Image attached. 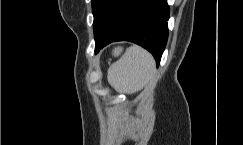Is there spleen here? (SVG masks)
<instances>
[{
  "label": "spleen",
  "instance_id": "3e777b00",
  "mask_svg": "<svg viewBox=\"0 0 243 145\" xmlns=\"http://www.w3.org/2000/svg\"><path fill=\"white\" fill-rule=\"evenodd\" d=\"M115 53L118 54V51ZM155 70L152 55L142 47L134 45L109 67L107 79L115 90L135 93L153 78Z\"/></svg>",
  "mask_w": 243,
  "mask_h": 145
}]
</instances>
